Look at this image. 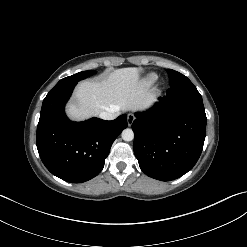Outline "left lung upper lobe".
I'll list each match as a JSON object with an SVG mask.
<instances>
[{
    "label": "left lung upper lobe",
    "instance_id": "left-lung-upper-lobe-1",
    "mask_svg": "<svg viewBox=\"0 0 247 247\" xmlns=\"http://www.w3.org/2000/svg\"><path fill=\"white\" fill-rule=\"evenodd\" d=\"M170 78V87L173 89L182 88H195L192 82L183 74L174 71L172 69H167Z\"/></svg>",
    "mask_w": 247,
    "mask_h": 247
}]
</instances>
